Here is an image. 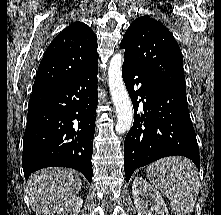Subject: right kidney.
Returning a JSON list of instances; mask_svg holds the SVG:
<instances>
[{"mask_svg":"<svg viewBox=\"0 0 221 215\" xmlns=\"http://www.w3.org/2000/svg\"><path fill=\"white\" fill-rule=\"evenodd\" d=\"M82 204V198L75 196L58 210L57 215H77L82 207Z\"/></svg>","mask_w":221,"mask_h":215,"instance_id":"1","label":"right kidney"}]
</instances>
